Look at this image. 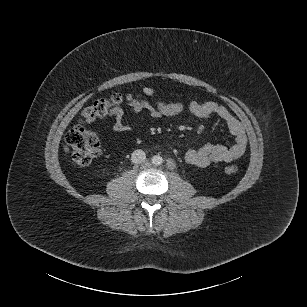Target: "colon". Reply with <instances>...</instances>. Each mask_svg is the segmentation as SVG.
I'll list each match as a JSON object with an SVG mask.
<instances>
[{
  "label": "colon",
  "instance_id": "colon-1",
  "mask_svg": "<svg viewBox=\"0 0 307 307\" xmlns=\"http://www.w3.org/2000/svg\"><path fill=\"white\" fill-rule=\"evenodd\" d=\"M135 97L132 95L114 94L109 98L98 99L92 105L83 110V122L73 126L66 135V141L70 146L73 160L82 166L88 165L101 152V143L98 135L85 126L97 118L107 115L115 108H121L124 103L131 102ZM227 174H235L238 167L228 165L225 167Z\"/></svg>",
  "mask_w": 307,
  "mask_h": 307
}]
</instances>
